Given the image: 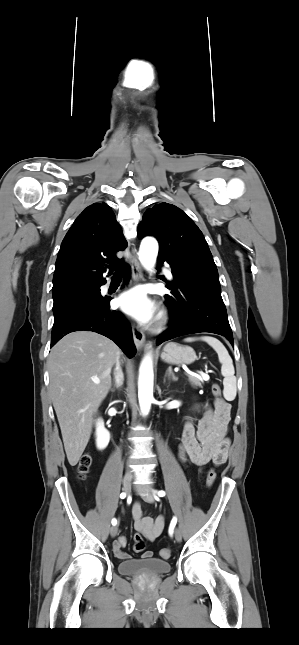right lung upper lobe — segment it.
Instances as JSON below:
<instances>
[{
	"mask_svg": "<svg viewBox=\"0 0 299 645\" xmlns=\"http://www.w3.org/2000/svg\"><path fill=\"white\" fill-rule=\"evenodd\" d=\"M127 247L121 226L106 203H95L76 218L64 237L55 263L52 291L73 284L105 283L107 264L119 261Z\"/></svg>",
	"mask_w": 299,
	"mask_h": 645,
	"instance_id": "obj_1",
	"label": "right lung upper lobe"
}]
</instances>
